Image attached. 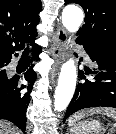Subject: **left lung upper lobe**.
Listing matches in <instances>:
<instances>
[{"label":"left lung upper lobe","instance_id":"left-lung-upper-lobe-1","mask_svg":"<svg viewBox=\"0 0 116 134\" xmlns=\"http://www.w3.org/2000/svg\"><path fill=\"white\" fill-rule=\"evenodd\" d=\"M81 5L85 24L77 33L78 43H92L116 51V0H65Z\"/></svg>","mask_w":116,"mask_h":134}]
</instances>
